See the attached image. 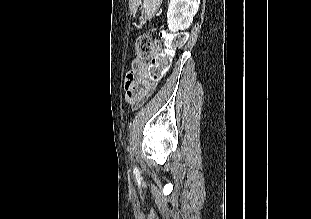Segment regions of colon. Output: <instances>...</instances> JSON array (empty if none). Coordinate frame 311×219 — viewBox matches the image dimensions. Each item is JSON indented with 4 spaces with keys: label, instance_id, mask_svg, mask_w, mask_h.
I'll return each mask as SVG.
<instances>
[{
    "label": "colon",
    "instance_id": "colon-1",
    "mask_svg": "<svg viewBox=\"0 0 311 219\" xmlns=\"http://www.w3.org/2000/svg\"><path fill=\"white\" fill-rule=\"evenodd\" d=\"M184 41V33L161 32L158 38L148 35L139 37L136 43L134 71L146 67L147 75L151 79L158 80L169 64L172 53L181 47ZM162 44L168 47V53L161 50Z\"/></svg>",
    "mask_w": 311,
    "mask_h": 219
}]
</instances>
